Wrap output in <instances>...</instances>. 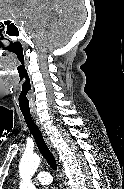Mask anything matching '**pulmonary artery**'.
Returning a JSON list of instances; mask_svg holds the SVG:
<instances>
[{"mask_svg": "<svg viewBox=\"0 0 124 189\" xmlns=\"http://www.w3.org/2000/svg\"><path fill=\"white\" fill-rule=\"evenodd\" d=\"M34 180L37 182V183H40V184H43V185H47V184H50L53 180V177L51 176L50 173L48 172H39Z\"/></svg>", "mask_w": 124, "mask_h": 189, "instance_id": "e3ab8cb5", "label": "pulmonary artery"}]
</instances>
